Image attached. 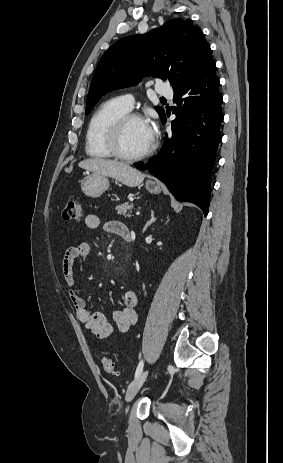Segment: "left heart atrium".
I'll return each instance as SVG.
<instances>
[{"mask_svg":"<svg viewBox=\"0 0 283 463\" xmlns=\"http://www.w3.org/2000/svg\"><path fill=\"white\" fill-rule=\"evenodd\" d=\"M148 129H149L151 142H153L155 137H156V133H157L156 128H155L154 124L148 123Z\"/></svg>","mask_w":283,"mask_h":463,"instance_id":"left-heart-atrium-1","label":"left heart atrium"}]
</instances>
